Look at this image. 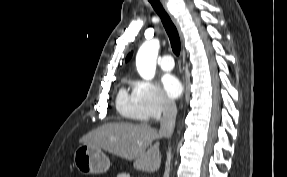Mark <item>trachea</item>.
Masks as SVG:
<instances>
[{
  "label": "trachea",
  "instance_id": "3493384b",
  "mask_svg": "<svg viewBox=\"0 0 287 177\" xmlns=\"http://www.w3.org/2000/svg\"><path fill=\"white\" fill-rule=\"evenodd\" d=\"M148 1L150 2L154 10L157 12L159 17L161 18L162 24L169 37L172 50L174 54L178 56L181 50V41H180L177 28L175 27L174 23L172 22L167 12L164 10L159 0H148Z\"/></svg>",
  "mask_w": 287,
  "mask_h": 177
}]
</instances>
